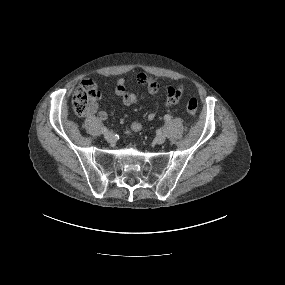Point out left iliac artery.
I'll return each instance as SVG.
<instances>
[{
	"label": "left iliac artery",
	"mask_w": 285,
	"mask_h": 285,
	"mask_svg": "<svg viewBox=\"0 0 285 285\" xmlns=\"http://www.w3.org/2000/svg\"><path fill=\"white\" fill-rule=\"evenodd\" d=\"M164 120L165 121H170L171 120V116L169 115V114H166L165 116H164ZM159 134H161V132L159 131Z\"/></svg>",
	"instance_id": "left-iliac-artery-1"
}]
</instances>
